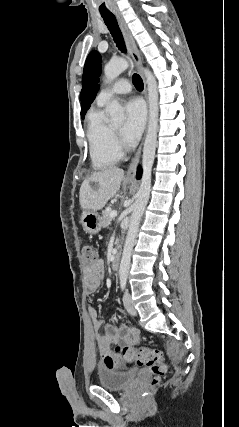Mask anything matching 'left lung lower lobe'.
<instances>
[{
	"mask_svg": "<svg viewBox=\"0 0 239 427\" xmlns=\"http://www.w3.org/2000/svg\"><path fill=\"white\" fill-rule=\"evenodd\" d=\"M141 173H142V170H141V168L139 167V168H138V171H137V178H138V179H140V177H141Z\"/></svg>",
	"mask_w": 239,
	"mask_h": 427,
	"instance_id": "1",
	"label": "left lung lower lobe"
}]
</instances>
